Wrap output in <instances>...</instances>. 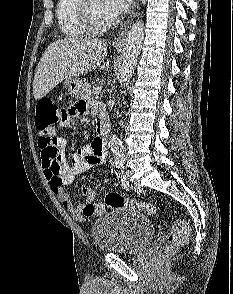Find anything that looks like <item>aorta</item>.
Segmentation results:
<instances>
[{
	"label": "aorta",
	"mask_w": 233,
	"mask_h": 294,
	"mask_svg": "<svg viewBox=\"0 0 233 294\" xmlns=\"http://www.w3.org/2000/svg\"><path fill=\"white\" fill-rule=\"evenodd\" d=\"M144 39V23L142 19L136 20L127 34L124 44L122 62L119 71V80L121 85H127L133 76L134 69L140 55ZM108 146L114 154L115 163L123 165L125 163L124 147L117 136H112Z\"/></svg>",
	"instance_id": "aorta-1"
}]
</instances>
